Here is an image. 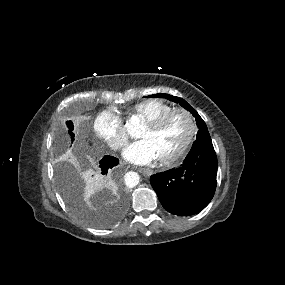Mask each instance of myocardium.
<instances>
[{
  "instance_id": "f54148a6",
  "label": "myocardium",
  "mask_w": 285,
  "mask_h": 285,
  "mask_svg": "<svg viewBox=\"0 0 285 285\" xmlns=\"http://www.w3.org/2000/svg\"><path fill=\"white\" fill-rule=\"evenodd\" d=\"M178 114L182 115L188 122L189 133L183 144L176 152L171 155L159 158L160 163L165 166L177 163L189 152L196 139L198 133V125L194 116L188 110L180 107L171 108L156 118L147 121V125L153 129H159L165 125L169 119Z\"/></svg>"
}]
</instances>
